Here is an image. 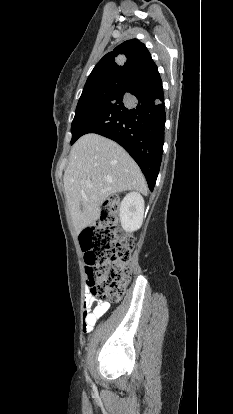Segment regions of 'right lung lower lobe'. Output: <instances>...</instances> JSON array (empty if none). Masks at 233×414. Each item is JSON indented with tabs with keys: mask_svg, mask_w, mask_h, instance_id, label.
Returning <instances> with one entry per match:
<instances>
[{
	"mask_svg": "<svg viewBox=\"0 0 233 414\" xmlns=\"http://www.w3.org/2000/svg\"><path fill=\"white\" fill-rule=\"evenodd\" d=\"M165 105L159 73L134 80L121 96L90 112L77 137L97 133L120 144L137 162L152 191L162 160Z\"/></svg>",
	"mask_w": 233,
	"mask_h": 414,
	"instance_id": "98d812e1",
	"label": "right lung lower lobe"
}]
</instances>
